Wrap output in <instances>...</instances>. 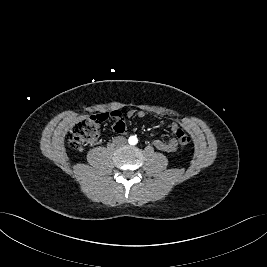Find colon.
I'll return each instance as SVG.
<instances>
[{
  "mask_svg": "<svg viewBox=\"0 0 267 267\" xmlns=\"http://www.w3.org/2000/svg\"><path fill=\"white\" fill-rule=\"evenodd\" d=\"M107 118L105 114L87 116L74 124L66 133L68 145L73 149H80L93 142L99 134L102 122ZM174 134L182 147H187L190 137L178 128Z\"/></svg>",
  "mask_w": 267,
  "mask_h": 267,
  "instance_id": "colon-1",
  "label": "colon"
}]
</instances>
